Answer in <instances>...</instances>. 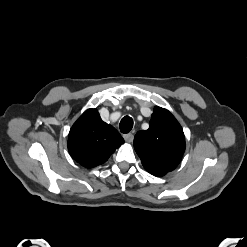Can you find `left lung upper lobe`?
<instances>
[{
    "label": "left lung upper lobe",
    "instance_id": "left-lung-upper-lobe-1",
    "mask_svg": "<svg viewBox=\"0 0 247 247\" xmlns=\"http://www.w3.org/2000/svg\"><path fill=\"white\" fill-rule=\"evenodd\" d=\"M134 148L144 168L161 177L180 163L185 151L184 133L168 110L156 106L149 129L135 135Z\"/></svg>",
    "mask_w": 247,
    "mask_h": 247
}]
</instances>
